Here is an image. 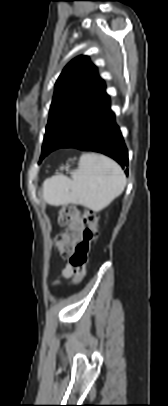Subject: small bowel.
Wrapping results in <instances>:
<instances>
[{"label":"small bowel","mask_w":168,"mask_h":406,"mask_svg":"<svg viewBox=\"0 0 168 406\" xmlns=\"http://www.w3.org/2000/svg\"><path fill=\"white\" fill-rule=\"evenodd\" d=\"M73 275V269L69 264H66L61 272L62 278H69Z\"/></svg>","instance_id":"1"}]
</instances>
